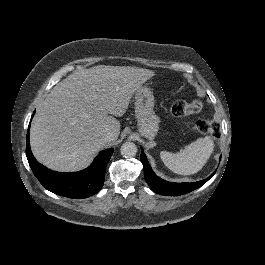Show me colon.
Masks as SVG:
<instances>
[{
    "instance_id": "1",
    "label": "colon",
    "mask_w": 265,
    "mask_h": 265,
    "mask_svg": "<svg viewBox=\"0 0 265 265\" xmlns=\"http://www.w3.org/2000/svg\"><path fill=\"white\" fill-rule=\"evenodd\" d=\"M201 109L202 103L198 99H194L191 102L179 100L174 102L172 105L171 114L175 117H185L194 113H198L201 111ZM195 130L213 138L220 137L219 125L211 120H199L195 125Z\"/></svg>"
}]
</instances>
